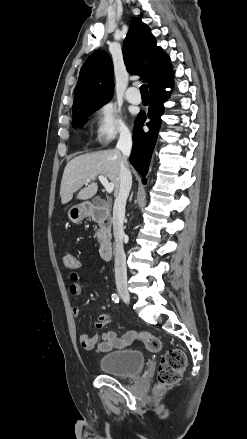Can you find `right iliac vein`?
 Returning a JSON list of instances; mask_svg holds the SVG:
<instances>
[{"mask_svg":"<svg viewBox=\"0 0 247 439\" xmlns=\"http://www.w3.org/2000/svg\"><path fill=\"white\" fill-rule=\"evenodd\" d=\"M118 293H119L120 297L122 298V300L126 304L130 303V294H129L128 289L126 287L118 288Z\"/></svg>","mask_w":247,"mask_h":439,"instance_id":"1","label":"right iliac vein"}]
</instances>
